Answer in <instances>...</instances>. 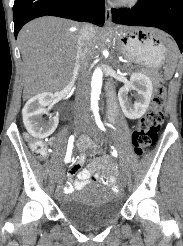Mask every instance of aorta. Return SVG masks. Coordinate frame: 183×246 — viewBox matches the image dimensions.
Segmentation results:
<instances>
[{"label": "aorta", "instance_id": "1", "mask_svg": "<svg viewBox=\"0 0 183 246\" xmlns=\"http://www.w3.org/2000/svg\"><path fill=\"white\" fill-rule=\"evenodd\" d=\"M103 54H108L106 50L103 51ZM102 78L103 72L101 68H96L92 75L91 81V109L97 110L98 109V101L101 93L102 88Z\"/></svg>", "mask_w": 183, "mask_h": 246}]
</instances>
